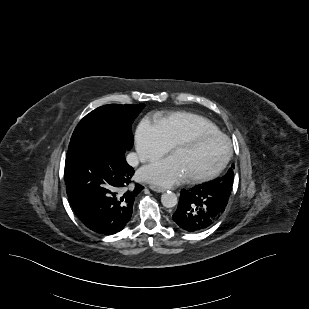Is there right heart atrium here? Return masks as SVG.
I'll return each mask as SVG.
<instances>
[{"instance_id":"right-heart-atrium-1","label":"right heart atrium","mask_w":309,"mask_h":309,"mask_svg":"<svg viewBox=\"0 0 309 309\" xmlns=\"http://www.w3.org/2000/svg\"><path fill=\"white\" fill-rule=\"evenodd\" d=\"M135 148L140 162L154 161L171 148L160 126L148 118L142 119L135 131Z\"/></svg>"}]
</instances>
